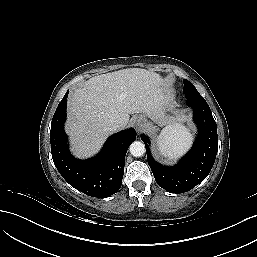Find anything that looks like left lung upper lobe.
I'll list each match as a JSON object with an SVG mask.
<instances>
[{
	"instance_id": "obj_1",
	"label": "left lung upper lobe",
	"mask_w": 257,
	"mask_h": 257,
	"mask_svg": "<svg viewBox=\"0 0 257 257\" xmlns=\"http://www.w3.org/2000/svg\"><path fill=\"white\" fill-rule=\"evenodd\" d=\"M183 82V93L185 94L187 99L204 100V98L199 94V92L191 82L186 79H184Z\"/></svg>"
}]
</instances>
